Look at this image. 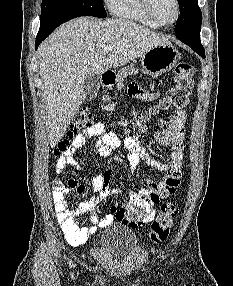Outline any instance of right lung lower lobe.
<instances>
[{
    "label": "right lung lower lobe",
    "mask_w": 233,
    "mask_h": 286,
    "mask_svg": "<svg viewBox=\"0 0 233 286\" xmlns=\"http://www.w3.org/2000/svg\"><path fill=\"white\" fill-rule=\"evenodd\" d=\"M85 16L72 10H61L45 20H41L40 29L36 37V49L38 45L46 39L59 25L73 18Z\"/></svg>",
    "instance_id": "1"
}]
</instances>
